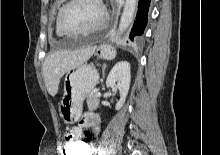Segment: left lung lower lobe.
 <instances>
[{"label": "left lung lower lobe", "instance_id": "0a47b994", "mask_svg": "<svg viewBox=\"0 0 220 155\" xmlns=\"http://www.w3.org/2000/svg\"><path fill=\"white\" fill-rule=\"evenodd\" d=\"M151 0H139L136 21L133 25L130 40L136 44L140 43L141 35L147 25L148 10Z\"/></svg>", "mask_w": 220, "mask_h": 155}]
</instances>
